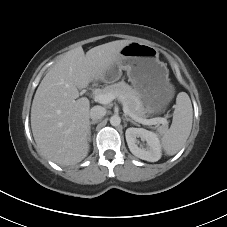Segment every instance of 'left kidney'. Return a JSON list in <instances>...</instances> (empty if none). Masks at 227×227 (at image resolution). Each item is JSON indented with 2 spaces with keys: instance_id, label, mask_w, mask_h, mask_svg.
Returning <instances> with one entry per match:
<instances>
[{
  "instance_id": "5707ae66",
  "label": "left kidney",
  "mask_w": 227,
  "mask_h": 227,
  "mask_svg": "<svg viewBox=\"0 0 227 227\" xmlns=\"http://www.w3.org/2000/svg\"><path fill=\"white\" fill-rule=\"evenodd\" d=\"M128 147L133 155L149 162H156L161 158V144L156 133L143 128H128L125 133ZM137 138L146 141L147 148L138 146Z\"/></svg>"
}]
</instances>
